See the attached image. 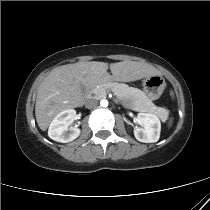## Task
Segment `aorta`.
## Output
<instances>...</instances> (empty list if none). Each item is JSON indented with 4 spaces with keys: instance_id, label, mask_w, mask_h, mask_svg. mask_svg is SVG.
<instances>
[{
    "instance_id": "aorta-1",
    "label": "aorta",
    "mask_w": 210,
    "mask_h": 210,
    "mask_svg": "<svg viewBox=\"0 0 210 210\" xmlns=\"http://www.w3.org/2000/svg\"><path fill=\"white\" fill-rule=\"evenodd\" d=\"M102 107H107L108 106V101L106 99L101 100L100 102Z\"/></svg>"
}]
</instances>
